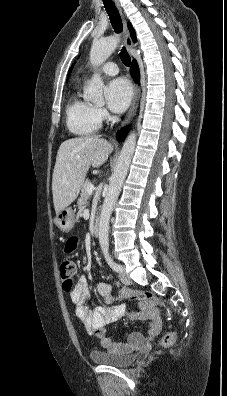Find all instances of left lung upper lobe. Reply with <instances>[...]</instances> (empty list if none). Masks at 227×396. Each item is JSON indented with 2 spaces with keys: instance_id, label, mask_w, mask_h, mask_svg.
I'll use <instances>...</instances> for the list:
<instances>
[{
  "instance_id": "5c2ea615",
  "label": "left lung upper lobe",
  "mask_w": 227,
  "mask_h": 396,
  "mask_svg": "<svg viewBox=\"0 0 227 396\" xmlns=\"http://www.w3.org/2000/svg\"><path fill=\"white\" fill-rule=\"evenodd\" d=\"M72 68H73V65H72V67L70 68V70H69V72H68L67 78H69Z\"/></svg>"
}]
</instances>
